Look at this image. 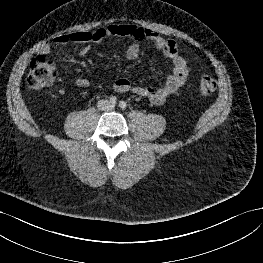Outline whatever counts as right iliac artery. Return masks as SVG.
Segmentation results:
<instances>
[{"instance_id":"right-iliac-artery-1","label":"right iliac artery","mask_w":263,"mask_h":263,"mask_svg":"<svg viewBox=\"0 0 263 263\" xmlns=\"http://www.w3.org/2000/svg\"><path fill=\"white\" fill-rule=\"evenodd\" d=\"M116 102H117V98H116L115 96H111V97H110V103L113 104V105H115Z\"/></svg>"}]
</instances>
